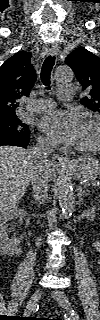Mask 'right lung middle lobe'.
<instances>
[{
	"label": "right lung middle lobe",
	"mask_w": 100,
	"mask_h": 320,
	"mask_svg": "<svg viewBox=\"0 0 100 320\" xmlns=\"http://www.w3.org/2000/svg\"><path fill=\"white\" fill-rule=\"evenodd\" d=\"M27 135H29L28 126L17 117L0 119V137Z\"/></svg>",
	"instance_id": "1"
}]
</instances>
